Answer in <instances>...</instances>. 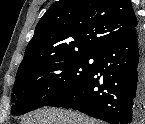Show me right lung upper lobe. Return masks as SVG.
Wrapping results in <instances>:
<instances>
[{
  "label": "right lung upper lobe",
  "instance_id": "1",
  "mask_svg": "<svg viewBox=\"0 0 145 124\" xmlns=\"http://www.w3.org/2000/svg\"><path fill=\"white\" fill-rule=\"evenodd\" d=\"M138 26L130 0H59L38 22L16 78L69 55H98Z\"/></svg>",
  "mask_w": 145,
  "mask_h": 124
}]
</instances>
